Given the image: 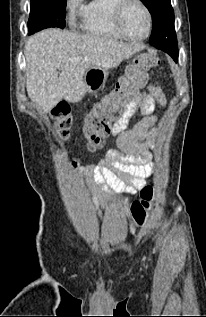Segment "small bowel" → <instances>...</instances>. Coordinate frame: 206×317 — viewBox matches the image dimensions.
<instances>
[{
    "label": "small bowel",
    "instance_id": "small-bowel-1",
    "mask_svg": "<svg viewBox=\"0 0 206 317\" xmlns=\"http://www.w3.org/2000/svg\"><path fill=\"white\" fill-rule=\"evenodd\" d=\"M155 103L165 106L166 97L160 88L149 85L146 91L128 104L124 115L113 127L112 134L118 150H109L99 164L84 169L83 174L93 192V203L97 209L100 210L102 206L104 193L114 190L132 196L145 185V179L152 173L150 149L158 121L153 114ZM137 111L144 117L129 129V121ZM116 171L133 177V185H126Z\"/></svg>",
    "mask_w": 206,
    "mask_h": 317
}]
</instances>
